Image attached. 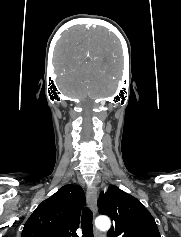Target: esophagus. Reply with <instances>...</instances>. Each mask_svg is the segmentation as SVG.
<instances>
[{"label": "esophagus", "mask_w": 181, "mask_h": 237, "mask_svg": "<svg viewBox=\"0 0 181 237\" xmlns=\"http://www.w3.org/2000/svg\"><path fill=\"white\" fill-rule=\"evenodd\" d=\"M87 199L89 202V206L91 208V211L93 212V215H96L97 213V188L95 185H91L87 188Z\"/></svg>", "instance_id": "esophagus-1"}]
</instances>
